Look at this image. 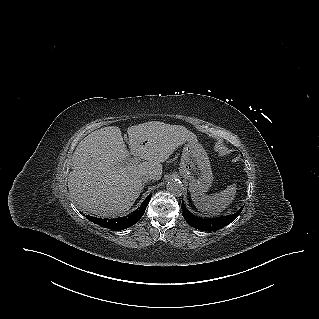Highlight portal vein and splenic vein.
Returning <instances> with one entry per match:
<instances>
[{
  "instance_id": "obj_1",
  "label": "portal vein and splenic vein",
  "mask_w": 319,
  "mask_h": 319,
  "mask_svg": "<svg viewBox=\"0 0 319 319\" xmlns=\"http://www.w3.org/2000/svg\"><path fill=\"white\" fill-rule=\"evenodd\" d=\"M138 162H139V159L134 158V159H129L128 161H125L124 164H138Z\"/></svg>"
}]
</instances>
